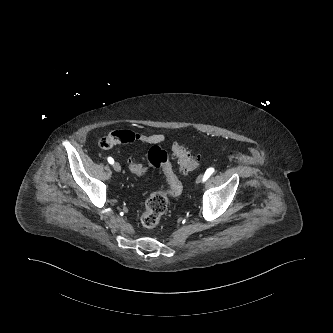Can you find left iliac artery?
<instances>
[{"instance_id": "left-iliac-artery-1", "label": "left iliac artery", "mask_w": 333, "mask_h": 333, "mask_svg": "<svg viewBox=\"0 0 333 333\" xmlns=\"http://www.w3.org/2000/svg\"><path fill=\"white\" fill-rule=\"evenodd\" d=\"M214 172V168H209L206 170L205 174H204V178H203V182L206 181Z\"/></svg>"}]
</instances>
